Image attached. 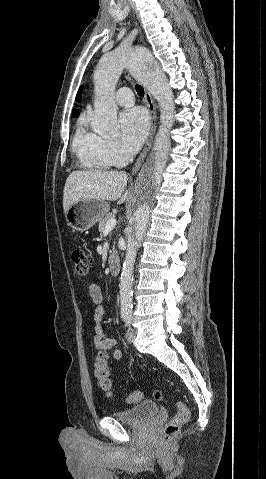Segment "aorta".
Here are the masks:
<instances>
[{
    "instance_id": "obj_1",
    "label": "aorta",
    "mask_w": 266,
    "mask_h": 479,
    "mask_svg": "<svg viewBox=\"0 0 266 479\" xmlns=\"http://www.w3.org/2000/svg\"><path fill=\"white\" fill-rule=\"evenodd\" d=\"M128 68L132 74L149 79L154 94L165 106L166 121L171 117V97L166 81L157 71L151 53L144 47L116 49L106 53L99 61L94 72L95 103L89 115L95 132L117 136V108L114 101L116 83L122 71ZM157 174L153 169H146L130 202L132 220L127 237L125 260L120 277L121 314L132 312V282L135 259L139 243L148 226L153 190Z\"/></svg>"
}]
</instances>
